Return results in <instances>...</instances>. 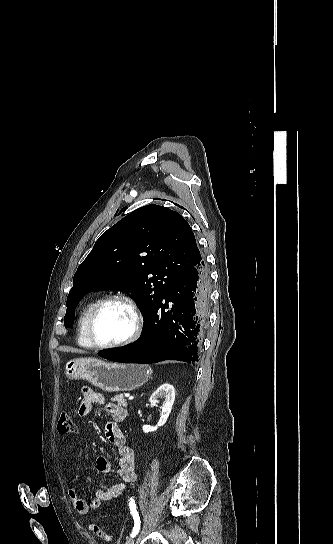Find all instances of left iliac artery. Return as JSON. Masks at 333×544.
<instances>
[{
  "label": "left iliac artery",
  "mask_w": 333,
  "mask_h": 544,
  "mask_svg": "<svg viewBox=\"0 0 333 544\" xmlns=\"http://www.w3.org/2000/svg\"><path fill=\"white\" fill-rule=\"evenodd\" d=\"M129 507H130V511H131V514H132L133 519H134V527H133V530H132L131 535H130V537L133 538L138 534L139 529H140V524H141L140 516H139V513H138V511L136 509V503H135V500L133 499V497L130 498Z\"/></svg>",
  "instance_id": "obj_1"
}]
</instances>
